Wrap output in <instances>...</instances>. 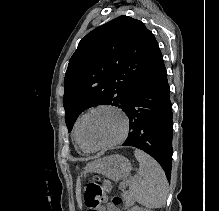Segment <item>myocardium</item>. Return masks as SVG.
Instances as JSON below:
<instances>
[{"mask_svg":"<svg viewBox=\"0 0 219 211\" xmlns=\"http://www.w3.org/2000/svg\"><path fill=\"white\" fill-rule=\"evenodd\" d=\"M101 109L113 110L121 116V118L123 120L122 131H121V134L117 138H115L114 140H112L108 143H105V144L99 145V146H95V147H89L84 143V141L82 139V126H83V123H84L85 119L91 113H93L95 111H98V110H101ZM129 123H130V121H129V117H128L127 113L122 108H120L119 106L113 105V104H99V105H96V106L90 108L88 111H86L79 120L78 130H77L79 143L83 148H85L89 151H98V150H104V149L111 148V147L121 143L126 138L128 130H129Z\"/></svg>","mask_w":219,"mask_h":211,"instance_id":"myocardium-1","label":"myocardium"}]
</instances>
